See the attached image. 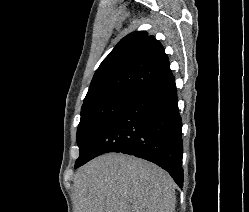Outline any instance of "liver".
I'll use <instances>...</instances> for the list:
<instances>
[{
	"mask_svg": "<svg viewBox=\"0 0 249 212\" xmlns=\"http://www.w3.org/2000/svg\"><path fill=\"white\" fill-rule=\"evenodd\" d=\"M174 182L162 168L126 154H104L74 176L75 212H175Z\"/></svg>",
	"mask_w": 249,
	"mask_h": 212,
	"instance_id": "1",
	"label": "liver"
}]
</instances>
